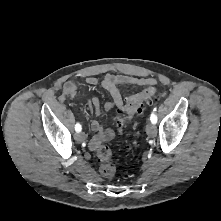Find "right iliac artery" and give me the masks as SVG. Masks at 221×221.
<instances>
[{
  "mask_svg": "<svg viewBox=\"0 0 221 221\" xmlns=\"http://www.w3.org/2000/svg\"><path fill=\"white\" fill-rule=\"evenodd\" d=\"M81 129H82L81 125H80L79 123H77V124L75 125V130H76V132H80Z\"/></svg>",
  "mask_w": 221,
  "mask_h": 221,
  "instance_id": "obj_1",
  "label": "right iliac artery"
}]
</instances>
